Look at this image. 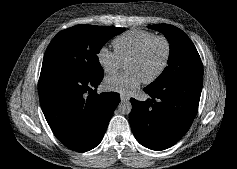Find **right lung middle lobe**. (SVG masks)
<instances>
[{"label":"right lung middle lobe","instance_id":"1","mask_svg":"<svg viewBox=\"0 0 237 169\" xmlns=\"http://www.w3.org/2000/svg\"><path fill=\"white\" fill-rule=\"evenodd\" d=\"M125 28L76 25L59 32L50 42L42 70L58 71L83 77L103 75L97 54L102 46Z\"/></svg>","mask_w":237,"mask_h":169}]
</instances>
